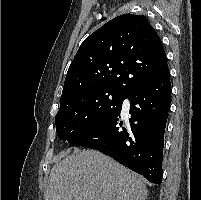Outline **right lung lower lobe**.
<instances>
[{"instance_id":"98d812e1","label":"right lung lower lobe","mask_w":201,"mask_h":200,"mask_svg":"<svg viewBox=\"0 0 201 200\" xmlns=\"http://www.w3.org/2000/svg\"><path fill=\"white\" fill-rule=\"evenodd\" d=\"M129 123L123 126L121 107L103 122L70 142L96 149L122 165L161 184L164 133L171 99L169 71L127 96Z\"/></svg>"}]
</instances>
